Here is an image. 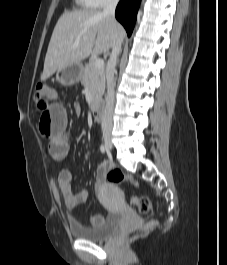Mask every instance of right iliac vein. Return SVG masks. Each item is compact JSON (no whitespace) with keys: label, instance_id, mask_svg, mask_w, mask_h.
Wrapping results in <instances>:
<instances>
[{"label":"right iliac vein","instance_id":"63e3f726","mask_svg":"<svg viewBox=\"0 0 227 265\" xmlns=\"http://www.w3.org/2000/svg\"><path fill=\"white\" fill-rule=\"evenodd\" d=\"M104 138V143L106 145V147L111 150L112 149V142H111V135L108 132H105L103 135Z\"/></svg>","mask_w":227,"mask_h":265}]
</instances>
